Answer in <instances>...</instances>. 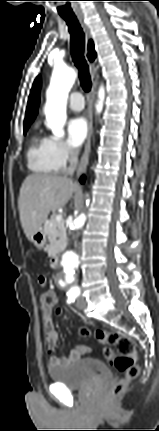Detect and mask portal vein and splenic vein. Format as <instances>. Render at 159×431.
Wrapping results in <instances>:
<instances>
[{
	"instance_id": "portal-vein-and-splenic-vein-1",
	"label": "portal vein and splenic vein",
	"mask_w": 159,
	"mask_h": 431,
	"mask_svg": "<svg viewBox=\"0 0 159 431\" xmlns=\"http://www.w3.org/2000/svg\"><path fill=\"white\" fill-rule=\"evenodd\" d=\"M55 220H56L57 222H61V221L63 220L62 215H57V216L55 217Z\"/></svg>"
}]
</instances>
